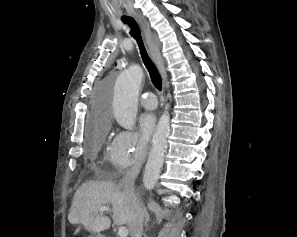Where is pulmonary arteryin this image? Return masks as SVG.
<instances>
[{
  "mask_svg": "<svg viewBox=\"0 0 297 237\" xmlns=\"http://www.w3.org/2000/svg\"><path fill=\"white\" fill-rule=\"evenodd\" d=\"M140 76L141 72L138 70V77ZM140 103L146 109H154L157 107V100L155 99V96L150 92H146L141 96Z\"/></svg>",
  "mask_w": 297,
  "mask_h": 237,
  "instance_id": "1",
  "label": "pulmonary artery"
}]
</instances>
